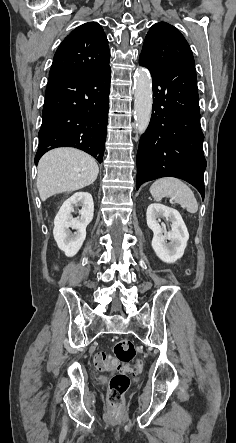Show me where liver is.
Listing matches in <instances>:
<instances>
[{
	"instance_id": "6515ba94",
	"label": "liver",
	"mask_w": 236,
	"mask_h": 443,
	"mask_svg": "<svg viewBox=\"0 0 236 443\" xmlns=\"http://www.w3.org/2000/svg\"><path fill=\"white\" fill-rule=\"evenodd\" d=\"M99 168L89 154L74 148H56L38 163L37 188L42 201L63 192H73L92 184Z\"/></svg>"
}]
</instances>
